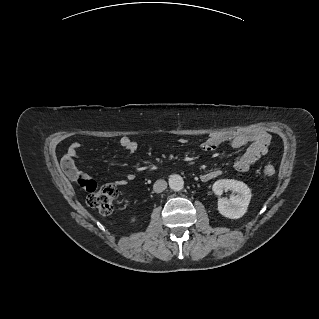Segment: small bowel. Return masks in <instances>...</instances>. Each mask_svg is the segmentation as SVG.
I'll list each match as a JSON object with an SVG mask.
<instances>
[{
	"label": "small bowel",
	"instance_id": "small-bowel-1",
	"mask_svg": "<svg viewBox=\"0 0 319 319\" xmlns=\"http://www.w3.org/2000/svg\"><path fill=\"white\" fill-rule=\"evenodd\" d=\"M183 142V140L181 141ZM270 142V136L264 131L251 132H236L226 131L215 133L209 136L201 143V149L205 152H211L223 144H229L232 148L240 149L246 147L244 153L235 161L234 168L238 172H247L252 165L261 159L267 152V147ZM119 145L130 153L137 151L138 146L128 136H120L118 139ZM78 143H74L70 148V155L74 156L79 148ZM221 175L220 170H210L202 173L200 179L203 182H208L216 179ZM70 176L76 180L80 178H88L84 173L72 169ZM133 179V175H128L126 178L117 179L114 184L118 187H123Z\"/></svg>",
	"mask_w": 319,
	"mask_h": 319
}]
</instances>
